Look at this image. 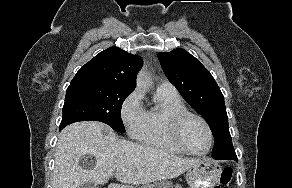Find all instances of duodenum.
<instances>
[{
	"instance_id": "410a0bca",
	"label": "duodenum",
	"mask_w": 292,
	"mask_h": 188,
	"mask_svg": "<svg viewBox=\"0 0 292 188\" xmlns=\"http://www.w3.org/2000/svg\"><path fill=\"white\" fill-rule=\"evenodd\" d=\"M109 188H122V187H120L118 185H110Z\"/></svg>"
}]
</instances>
